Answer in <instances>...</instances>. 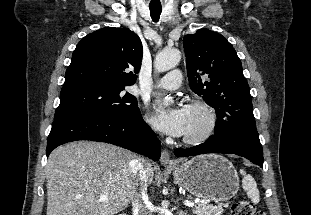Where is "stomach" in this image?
Wrapping results in <instances>:
<instances>
[{"label": "stomach", "mask_w": 311, "mask_h": 215, "mask_svg": "<svg viewBox=\"0 0 311 215\" xmlns=\"http://www.w3.org/2000/svg\"><path fill=\"white\" fill-rule=\"evenodd\" d=\"M170 170L176 184L204 200L225 202L233 198L239 190L236 169L221 155L194 157Z\"/></svg>", "instance_id": "1"}]
</instances>
